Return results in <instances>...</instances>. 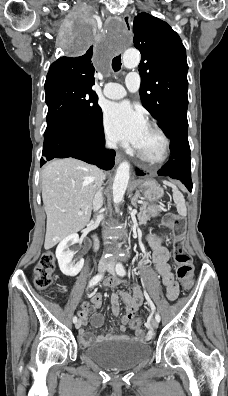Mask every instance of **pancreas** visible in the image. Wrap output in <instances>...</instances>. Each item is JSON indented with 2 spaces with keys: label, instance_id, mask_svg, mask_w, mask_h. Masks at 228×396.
I'll return each mask as SVG.
<instances>
[{
  "label": "pancreas",
  "instance_id": "1",
  "mask_svg": "<svg viewBox=\"0 0 228 396\" xmlns=\"http://www.w3.org/2000/svg\"><path fill=\"white\" fill-rule=\"evenodd\" d=\"M146 208H147L148 210H151V208H150L149 206H147L146 203H143L142 206H141V208L139 209V212H140V213H144ZM156 209H157L158 211H164V210H165L163 205L156 206ZM138 219L140 220V223L147 224L149 219H153V216H149V215H139V216H138Z\"/></svg>",
  "mask_w": 228,
  "mask_h": 396
}]
</instances>
